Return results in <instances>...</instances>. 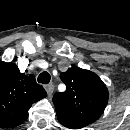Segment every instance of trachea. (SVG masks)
<instances>
[{"mask_svg": "<svg viewBox=\"0 0 130 130\" xmlns=\"http://www.w3.org/2000/svg\"><path fill=\"white\" fill-rule=\"evenodd\" d=\"M50 74L46 71L42 72L39 76H38V82L42 83V84H48L50 82Z\"/></svg>", "mask_w": 130, "mask_h": 130, "instance_id": "obj_1", "label": "trachea"}]
</instances>
